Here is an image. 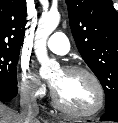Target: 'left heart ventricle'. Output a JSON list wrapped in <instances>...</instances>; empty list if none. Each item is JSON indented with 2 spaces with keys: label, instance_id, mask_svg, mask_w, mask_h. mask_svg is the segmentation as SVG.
I'll return each instance as SVG.
<instances>
[{
  "label": "left heart ventricle",
  "instance_id": "b2bd125f",
  "mask_svg": "<svg viewBox=\"0 0 118 123\" xmlns=\"http://www.w3.org/2000/svg\"><path fill=\"white\" fill-rule=\"evenodd\" d=\"M51 81L60 100L67 107L77 111H86L95 106L97 91L86 75L58 71Z\"/></svg>",
  "mask_w": 118,
  "mask_h": 123
}]
</instances>
